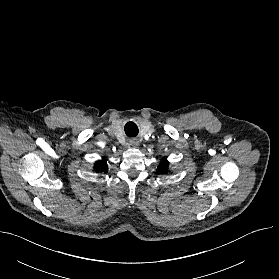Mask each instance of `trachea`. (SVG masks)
Masks as SVG:
<instances>
[{
	"label": "trachea",
	"mask_w": 279,
	"mask_h": 279,
	"mask_svg": "<svg viewBox=\"0 0 279 279\" xmlns=\"http://www.w3.org/2000/svg\"><path fill=\"white\" fill-rule=\"evenodd\" d=\"M129 126H133L134 127V131L136 132V134H137V132H138V128H137V126L134 124V123H128V124H126V127L128 128ZM130 130H132V129H130ZM135 134V135H136Z\"/></svg>",
	"instance_id": "trachea-1"
}]
</instances>
